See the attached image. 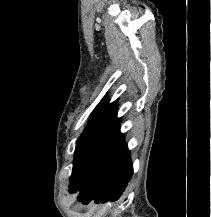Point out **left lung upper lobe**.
<instances>
[{
    "instance_id": "1",
    "label": "left lung upper lobe",
    "mask_w": 211,
    "mask_h": 217,
    "mask_svg": "<svg viewBox=\"0 0 211 217\" xmlns=\"http://www.w3.org/2000/svg\"><path fill=\"white\" fill-rule=\"evenodd\" d=\"M121 119L117 118V100H101L92 118L76 143L73 171L70 182L75 180L97 152L119 132Z\"/></svg>"
}]
</instances>
